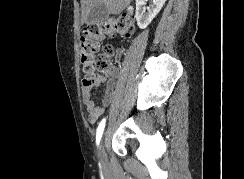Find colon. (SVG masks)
Returning <instances> with one entry per match:
<instances>
[{"instance_id": "colon-1", "label": "colon", "mask_w": 244, "mask_h": 179, "mask_svg": "<svg viewBox=\"0 0 244 179\" xmlns=\"http://www.w3.org/2000/svg\"><path fill=\"white\" fill-rule=\"evenodd\" d=\"M130 31V22L119 18L99 22V26L87 24L81 29L78 49L85 87L94 88L103 82L105 72L109 67L108 60L117 53L113 46L106 45L99 54L100 41L103 37L107 34L129 33Z\"/></svg>"}]
</instances>
